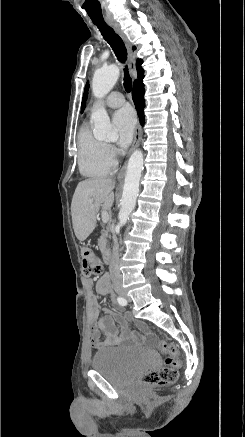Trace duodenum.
I'll return each instance as SVG.
<instances>
[{
    "label": "duodenum",
    "mask_w": 245,
    "mask_h": 437,
    "mask_svg": "<svg viewBox=\"0 0 245 437\" xmlns=\"http://www.w3.org/2000/svg\"><path fill=\"white\" fill-rule=\"evenodd\" d=\"M102 254H103V259L106 263H108L110 261V252L108 251L107 248H103L102 249ZM104 277L106 278V281H109V276L107 274L104 275Z\"/></svg>",
    "instance_id": "410a0bca"
}]
</instances>
